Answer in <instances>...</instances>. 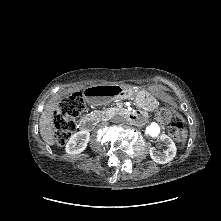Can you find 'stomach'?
Returning a JSON list of instances; mask_svg holds the SVG:
<instances>
[{
  "label": "stomach",
  "mask_w": 221,
  "mask_h": 221,
  "mask_svg": "<svg viewBox=\"0 0 221 221\" xmlns=\"http://www.w3.org/2000/svg\"><path fill=\"white\" fill-rule=\"evenodd\" d=\"M127 95L144 108H152L155 106L153 94L146 90L129 89Z\"/></svg>",
  "instance_id": "obj_1"
}]
</instances>
